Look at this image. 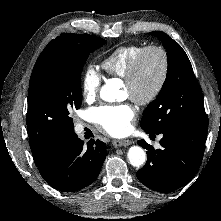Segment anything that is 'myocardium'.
Segmentation results:
<instances>
[{
	"instance_id": "f54148a6",
	"label": "myocardium",
	"mask_w": 221,
	"mask_h": 221,
	"mask_svg": "<svg viewBox=\"0 0 221 221\" xmlns=\"http://www.w3.org/2000/svg\"><path fill=\"white\" fill-rule=\"evenodd\" d=\"M149 53H157L160 56L161 73L154 88L148 94L140 96L136 93L135 86L142 63ZM169 72L170 59L167 50L163 46L157 44L144 47L133 60L125 77L123 78L126 87H128L130 90V99L140 106H146L154 102L163 91L169 77Z\"/></svg>"
}]
</instances>
